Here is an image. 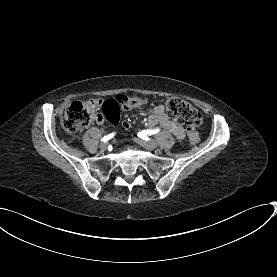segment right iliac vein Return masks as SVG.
<instances>
[{
    "label": "right iliac vein",
    "instance_id": "1",
    "mask_svg": "<svg viewBox=\"0 0 277 277\" xmlns=\"http://www.w3.org/2000/svg\"><path fill=\"white\" fill-rule=\"evenodd\" d=\"M107 147H108V144L105 142L100 144V149L103 151L107 150Z\"/></svg>",
    "mask_w": 277,
    "mask_h": 277
}]
</instances>
